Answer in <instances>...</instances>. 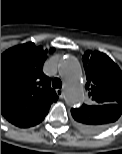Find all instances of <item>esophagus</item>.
Wrapping results in <instances>:
<instances>
[{
  "instance_id": "obj_1",
  "label": "esophagus",
  "mask_w": 122,
  "mask_h": 154,
  "mask_svg": "<svg viewBox=\"0 0 122 154\" xmlns=\"http://www.w3.org/2000/svg\"><path fill=\"white\" fill-rule=\"evenodd\" d=\"M57 95L59 96V98H63L64 97V92L62 89H57L56 90Z\"/></svg>"
}]
</instances>
